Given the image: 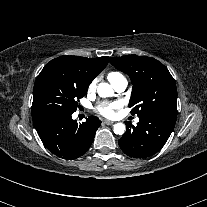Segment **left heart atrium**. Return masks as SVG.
<instances>
[{
  "mask_svg": "<svg viewBox=\"0 0 207 207\" xmlns=\"http://www.w3.org/2000/svg\"><path fill=\"white\" fill-rule=\"evenodd\" d=\"M119 108V104L117 102H112L109 104L101 105L97 108V111L106 117H111L114 113V110Z\"/></svg>",
  "mask_w": 207,
  "mask_h": 207,
  "instance_id": "39dd6f15",
  "label": "left heart atrium"
}]
</instances>
